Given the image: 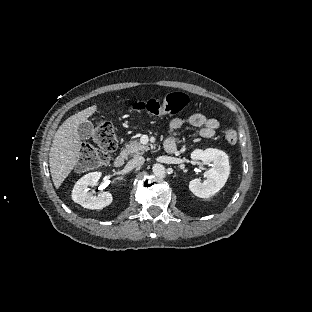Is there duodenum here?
<instances>
[{
  "instance_id": "410a0bca",
  "label": "duodenum",
  "mask_w": 312,
  "mask_h": 312,
  "mask_svg": "<svg viewBox=\"0 0 312 312\" xmlns=\"http://www.w3.org/2000/svg\"><path fill=\"white\" fill-rule=\"evenodd\" d=\"M164 149L167 153L174 154L177 151V147L174 143L165 142ZM127 159V152L123 151L114 159V165L117 168H122L125 165Z\"/></svg>"
}]
</instances>
